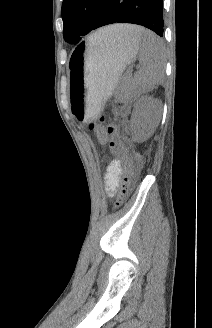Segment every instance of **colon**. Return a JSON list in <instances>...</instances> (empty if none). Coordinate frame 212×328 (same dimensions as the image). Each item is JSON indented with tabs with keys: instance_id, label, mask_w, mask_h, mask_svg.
Returning <instances> with one entry per match:
<instances>
[{
	"instance_id": "1",
	"label": "colon",
	"mask_w": 212,
	"mask_h": 328,
	"mask_svg": "<svg viewBox=\"0 0 212 328\" xmlns=\"http://www.w3.org/2000/svg\"><path fill=\"white\" fill-rule=\"evenodd\" d=\"M89 128L95 131L98 142L101 146H107L114 153L121 152V140L119 138L118 130L115 126H105L101 122H92L90 123ZM140 164L141 160L138 158L128 164L120 185V189L116 195V201L114 205L115 209L121 207V205L126 200Z\"/></svg>"
}]
</instances>
